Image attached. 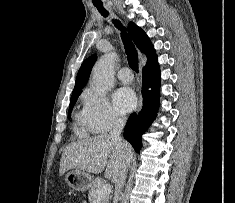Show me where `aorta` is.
<instances>
[{
  "mask_svg": "<svg viewBox=\"0 0 235 203\" xmlns=\"http://www.w3.org/2000/svg\"><path fill=\"white\" fill-rule=\"evenodd\" d=\"M115 54L109 53L102 56L92 70L95 83V93L104 96L114 86Z\"/></svg>",
  "mask_w": 235,
  "mask_h": 203,
  "instance_id": "aorta-1",
  "label": "aorta"
}]
</instances>
